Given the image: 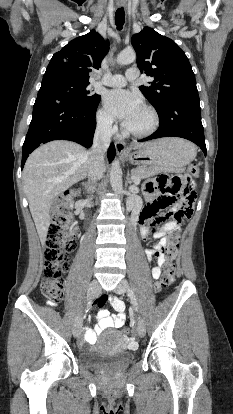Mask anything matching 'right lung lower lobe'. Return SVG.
Segmentation results:
<instances>
[{
	"label": "right lung lower lobe",
	"mask_w": 233,
	"mask_h": 414,
	"mask_svg": "<svg viewBox=\"0 0 233 414\" xmlns=\"http://www.w3.org/2000/svg\"><path fill=\"white\" fill-rule=\"evenodd\" d=\"M98 104L79 106L54 97H38L23 144L21 168L29 154L42 143L64 139L75 141L87 148L91 147ZM115 152V147L111 144L108 150L109 162L113 160Z\"/></svg>",
	"instance_id": "obj_1"
}]
</instances>
